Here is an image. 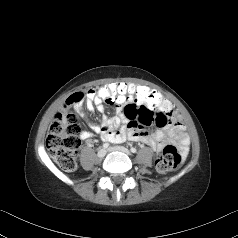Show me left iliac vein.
I'll list each match as a JSON object with an SVG mask.
<instances>
[{
	"instance_id": "1",
	"label": "left iliac vein",
	"mask_w": 238,
	"mask_h": 238,
	"mask_svg": "<svg viewBox=\"0 0 238 238\" xmlns=\"http://www.w3.org/2000/svg\"><path fill=\"white\" fill-rule=\"evenodd\" d=\"M108 150L109 151H119V152H122V153H124L126 155H129V156L131 155V152L127 148H125L123 146L110 147Z\"/></svg>"
}]
</instances>
